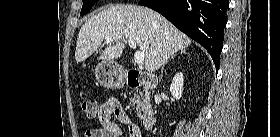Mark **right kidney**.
<instances>
[{
	"instance_id": "ca27d5eb",
	"label": "right kidney",
	"mask_w": 280,
	"mask_h": 137,
	"mask_svg": "<svg viewBox=\"0 0 280 137\" xmlns=\"http://www.w3.org/2000/svg\"><path fill=\"white\" fill-rule=\"evenodd\" d=\"M183 81V73H176L170 85V92L172 96L177 100L182 97Z\"/></svg>"
}]
</instances>
